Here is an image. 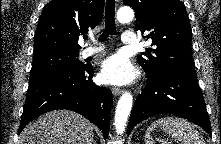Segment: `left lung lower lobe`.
<instances>
[{
    "mask_svg": "<svg viewBox=\"0 0 221 144\" xmlns=\"http://www.w3.org/2000/svg\"><path fill=\"white\" fill-rule=\"evenodd\" d=\"M145 72L147 83L132 109L128 133L135 125L149 117L169 113L192 121L212 137L197 76L173 70Z\"/></svg>",
    "mask_w": 221,
    "mask_h": 144,
    "instance_id": "obj_1",
    "label": "left lung lower lobe"
}]
</instances>
